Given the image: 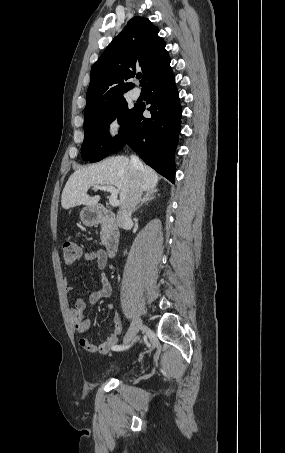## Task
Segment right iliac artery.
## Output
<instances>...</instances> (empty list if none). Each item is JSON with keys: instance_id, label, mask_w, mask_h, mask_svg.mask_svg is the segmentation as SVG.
I'll list each match as a JSON object with an SVG mask.
<instances>
[{"instance_id": "obj_1", "label": "right iliac artery", "mask_w": 285, "mask_h": 453, "mask_svg": "<svg viewBox=\"0 0 285 453\" xmlns=\"http://www.w3.org/2000/svg\"><path fill=\"white\" fill-rule=\"evenodd\" d=\"M128 347H129V346H126V347H125V346L117 345V346L113 347L112 349H113V350H123V349L128 348Z\"/></svg>"}]
</instances>
